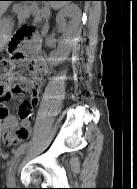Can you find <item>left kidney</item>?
Returning <instances> with one entry per match:
<instances>
[{"mask_svg": "<svg viewBox=\"0 0 137 189\" xmlns=\"http://www.w3.org/2000/svg\"><path fill=\"white\" fill-rule=\"evenodd\" d=\"M65 17L77 18L78 17L77 8L74 7L73 5H69L58 13L56 17V21L62 26L63 31L65 29V23H64ZM67 55H68L67 52H63L58 55L52 54L49 60L54 64H59L60 62L64 61L67 58Z\"/></svg>", "mask_w": 137, "mask_h": 189, "instance_id": "obj_1", "label": "left kidney"}]
</instances>
